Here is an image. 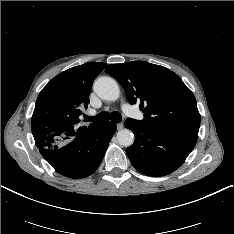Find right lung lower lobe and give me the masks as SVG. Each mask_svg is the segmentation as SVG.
I'll return each mask as SVG.
<instances>
[{"mask_svg": "<svg viewBox=\"0 0 234 234\" xmlns=\"http://www.w3.org/2000/svg\"><path fill=\"white\" fill-rule=\"evenodd\" d=\"M115 132L114 123L95 124L72 141L58 148L40 149V153L59 174L87 177L99 167Z\"/></svg>", "mask_w": 234, "mask_h": 234, "instance_id": "1", "label": "right lung lower lobe"}]
</instances>
